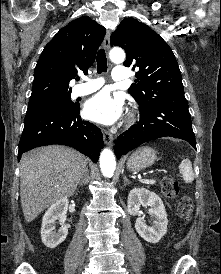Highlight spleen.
<instances>
[{"label":"spleen","mask_w":221,"mask_h":274,"mask_svg":"<svg viewBox=\"0 0 221 274\" xmlns=\"http://www.w3.org/2000/svg\"><path fill=\"white\" fill-rule=\"evenodd\" d=\"M179 172L186 183H192L194 180V173L192 169V164L189 159H183L179 165Z\"/></svg>","instance_id":"1"}]
</instances>
